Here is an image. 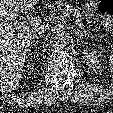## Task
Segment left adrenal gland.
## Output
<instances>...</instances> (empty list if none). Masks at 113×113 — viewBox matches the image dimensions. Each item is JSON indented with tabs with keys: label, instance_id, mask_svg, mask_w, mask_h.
Returning <instances> with one entry per match:
<instances>
[{
	"label": "left adrenal gland",
	"instance_id": "obj_1",
	"mask_svg": "<svg viewBox=\"0 0 113 113\" xmlns=\"http://www.w3.org/2000/svg\"><path fill=\"white\" fill-rule=\"evenodd\" d=\"M75 35L77 36V42L85 36L83 33L78 31L75 32Z\"/></svg>",
	"mask_w": 113,
	"mask_h": 113
}]
</instances>
